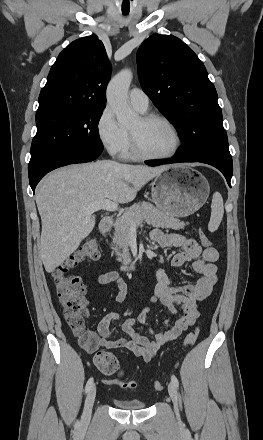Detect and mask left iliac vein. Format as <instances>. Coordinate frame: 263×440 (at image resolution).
I'll list each match as a JSON object with an SVG mask.
<instances>
[{
	"mask_svg": "<svg viewBox=\"0 0 263 440\" xmlns=\"http://www.w3.org/2000/svg\"><path fill=\"white\" fill-rule=\"evenodd\" d=\"M168 392H169V395H170V397L173 401V404H174V411H175L176 417L179 419L178 394H177L176 386L172 382H170L168 384Z\"/></svg>",
	"mask_w": 263,
	"mask_h": 440,
	"instance_id": "obj_1",
	"label": "left iliac vein"
}]
</instances>
